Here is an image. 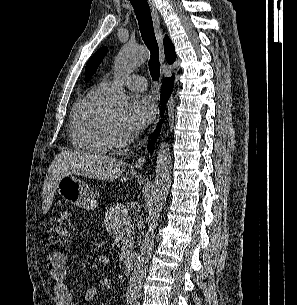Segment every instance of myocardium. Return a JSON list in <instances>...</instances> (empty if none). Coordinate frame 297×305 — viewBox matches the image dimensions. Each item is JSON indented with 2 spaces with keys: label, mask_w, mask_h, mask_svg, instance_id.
<instances>
[{
  "label": "myocardium",
  "mask_w": 297,
  "mask_h": 305,
  "mask_svg": "<svg viewBox=\"0 0 297 305\" xmlns=\"http://www.w3.org/2000/svg\"><path fill=\"white\" fill-rule=\"evenodd\" d=\"M104 137L110 149L121 150L129 143V137L120 135L114 127L109 116L105 119Z\"/></svg>",
  "instance_id": "f54148a6"
}]
</instances>
